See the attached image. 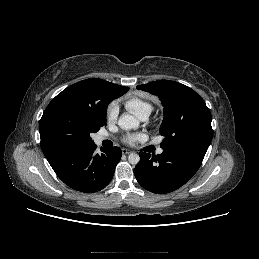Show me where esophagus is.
Listing matches in <instances>:
<instances>
[{
  "label": "esophagus",
  "mask_w": 259,
  "mask_h": 259,
  "mask_svg": "<svg viewBox=\"0 0 259 259\" xmlns=\"http://www.w3.org/2000/svg\"><path fill=\"white\" fill-rule=\"evenodd\" d=\"M122 153L123 154H130V153H132V151L131 150H129V149H122Z\"/></svg>",
  "instance_id": "34e87169"
}]
</instances>
